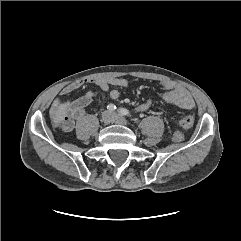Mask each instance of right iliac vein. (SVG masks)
<instances>
[{"instance_id":"obj_1","label":"right iliac vein","mask_w":241,"mask_h":241,"mask_svg":"<svg viewBox=\"0 0 241 241\" xmlns=\"http://www.w3.org/2000/svg\"><path fill=\"white\" fill-rule=\"evenodd\" d=\"M114 116L112 113L110 112H105L102 115V122L106 125L110 124L111 122H113Z\"/></svg>"}]
</instances>
